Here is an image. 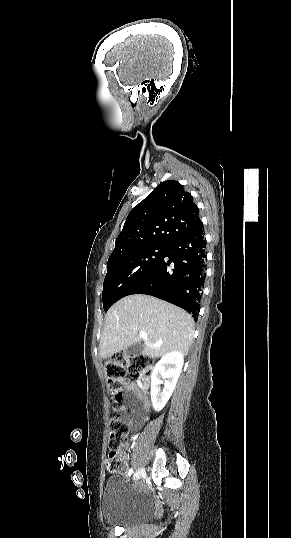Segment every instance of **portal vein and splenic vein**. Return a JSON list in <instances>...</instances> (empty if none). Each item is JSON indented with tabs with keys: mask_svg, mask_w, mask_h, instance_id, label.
<instances>
[{
	"mask_svg": "<svg viewBox=\"0 0 291 538\" xmlns=\"http://www.w3.org/2000/svg\"><path fill=\"white\" fill-rule=\"evenodd\" d=\"M139 335H140V337H141L142 339H147V334H146L145 331H140V332H139Z\"/></svg>",
	"mask_w": 291,
	"mask_h": 538,
	"instance_id": "1",
	"label": "portal vein and splenic vein"
}]
</instances>
